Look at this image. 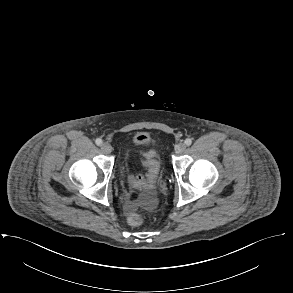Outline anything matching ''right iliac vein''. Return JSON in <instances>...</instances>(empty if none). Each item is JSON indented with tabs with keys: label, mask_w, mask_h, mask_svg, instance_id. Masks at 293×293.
Here are the masks:
<instances>
[{
	"label": "right iliac vein",
	"mask_w": 293,
	"mask_h": 293,
	"mask_svg": "<svg viewBox=\"0 0 293 293\" xmlns=\"http://www.w3.org/2000/svg\"><path fill=\"white\" fill-rule=\"evenodd\" d=\"M101 149L104 153L109 154L112 152V146L109 143H103Z\"/></svg>",
	"instance_id": "63e3f726"
}]
</instances>
